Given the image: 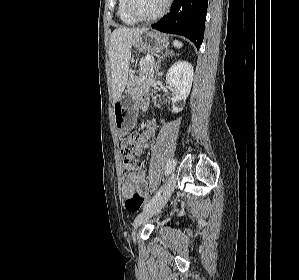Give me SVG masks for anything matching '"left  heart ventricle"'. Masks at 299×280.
Returning a JSON list of instances; mask_svg holds the SVG:
<instances>
[{
	"mask_svg": "<svg viewBox=\"0 0 299 280\" xmlns=\"http://www.w3.org/2000/svg\"><path fill=\"white\" fill-rule=\"evenodd\" d=\"M165 0H135L136 12L144 17L156 14L163 6Z\"/></svg>",
	"mask_w": 299,
	"mask_h": 280,
	"instance_id": "left-heart-ventricle-1",
	"label": "left heart ventricle"
}]
</instances>
